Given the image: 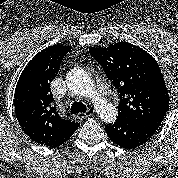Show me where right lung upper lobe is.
Returning a JSON list of instances; mask_svg holds the SVG:
<instances>
[{"mask_svg": "<svg viewBox=\"0 0 178 178\" xmlns=\"http://www.w3.org/2000/svg\"><path fill=\"white\" fill-rule=\"evenodd\" d=\"M70 50L63 45L42 50L22 71L16 85L14 105L19 125L32 141L47 147L62 145L80 126L59 114L50 89Z\"/></svg>", "mask_w": 178, "mask_h": 178, "instance_id": "cb5924a9", "label": "right lung upper lobe"}]
</instances>
